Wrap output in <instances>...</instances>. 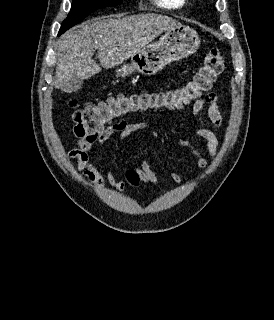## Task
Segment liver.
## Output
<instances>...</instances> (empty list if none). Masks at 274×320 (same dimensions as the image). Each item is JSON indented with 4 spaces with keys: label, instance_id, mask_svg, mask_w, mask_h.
Returning <instances> with one entry per match:
<instances>
[{
    "label": "liver",
    "instance_id": "1",
    "mask_svg": "<svg viewBox=\"0 0 274 320\" xmlns=\"http://www.w3.org/2000/svg\"><path fill=\"white\" fill-rule=\"evenodd\" d=\"M179 26L176 20L161 14L138 16H102L82 22L59 38L57 52V90L76 92L87 80L101 72L102 68H114L123 64L170 28ZM96 50L100 66L92 60Z\"/></svg>",
    "mask_w": 274,
    "mask_h": 320
}]
</instances>
